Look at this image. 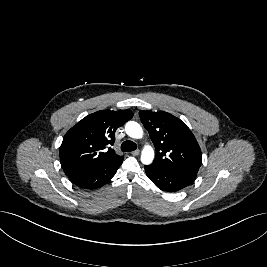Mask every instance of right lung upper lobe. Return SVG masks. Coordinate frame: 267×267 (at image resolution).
I'll return each mask as SVG.
<instances>
[{
  "instance_id": "obj_1",
  "label": "right lung upper lobe",
  "mask_w": 267,
  "mask_h": 267,
  "mask_svg": "<svg viewBox=\"0 0 267 267\" xmlns=\"http://www.w3.org/2000/svg\"><path fill=\"white\" fill-rule=\"evenodd\" d=\"M133 117L131 110H101L73 126L60 147V163L67 176L122 159L108 148L115 142V131Z\"/></svg>"
}]
</instances>
